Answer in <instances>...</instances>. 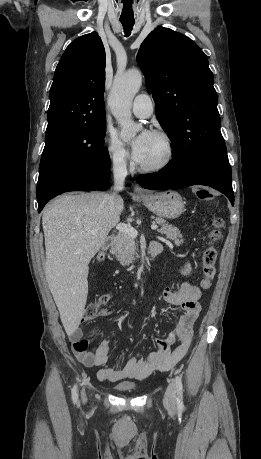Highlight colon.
Returning a JSON list of instances; mask_svg holds the SVG:
<instances>
[{"label": "colon", "mask_w": 261, "mask_h": 459, "mask_svg": "<svg viewBox=\"0 0 261 459\" xmlns=\"http://www.w3.org/2000/svg\"><path fill=\"white\" fill-rule=\"evenodd\" d=\"M199 199L210 200L213 197L212 188H199L196 192ZM223 225L221 219L214 221V228L209 235V243L202 255V279L200 286L203 290H207L212 286L213 280L216 275V263H217V249L215 242L220 238V229ZM108 295H103L98 301L90 303L85 310L84 319L92 320L96 318L101 311V306L108 300Z\"/></svg>", "instance_id": "5ec220e1"}]
</instances>
